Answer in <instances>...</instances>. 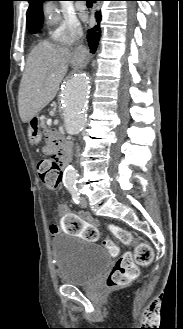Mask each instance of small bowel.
I'll return each instance as SVG.
<instances>
[{
  "label": "small bowel",
  "mask_w": 183,
  "mask_h": 329,
  "mask_svg": "<svg viewBox=\"0 0 183 329\" xmlns=\"http://www.w3.org/2000/svg\"><path fill=\"white\" fill-rule=\"evenodd\" d=\"M47 154L53 153V143L48 141L43 148ZM60 219H73L74 216L81 220H62L61 226L66 236H80V242H97L100 236L99 225L97 220L89 213H79L74 215L65 204L58 206ZM60 225L52 224L49 227L50 236L54 237L61 230Z\"/></svg>",
  "instance_id": "c3829d8e"
}]
</instances>
